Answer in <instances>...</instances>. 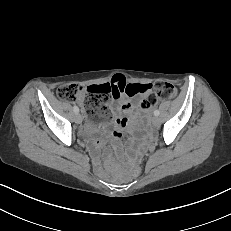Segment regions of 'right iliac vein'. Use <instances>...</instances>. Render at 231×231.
<instances>
[{
  "label": "right iliac vein",
  "instance_id": "63e3f726",
  "mask_svg": "<svg viewBox=\"0 0 231 231\" xmlns=\"http://www.w3.org/2000/svg\"><path fill=\"white\" fill-rule=\"evenodd\" d=\"M82 121H83V118H82L81 114L76 113V115H75V122L78 123V124H81Z\"/></svg>",
  "mask_w": 231,
  "mask_h": 231
}]
</instances>
